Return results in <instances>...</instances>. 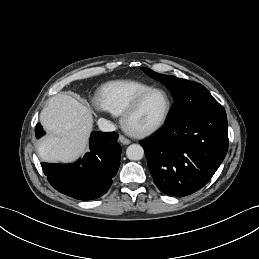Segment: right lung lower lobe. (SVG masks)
<instances>
[{
    "label": "right lung lower lobe",
    "instance_id": "obj_1",
    "mask_svg": "<svg viewBox=\"0 0 259 259\" xmlns=\"http://www.w3.org/2000/svg\"><path fill=\"white\" fill-rule=\"evenodd\" d=\"M36 125V137L44 135ZM115 132H92L90 153L72 165L41 163L49 183L59 192L79 200L96 199L107 192L120 165L121 146Z\"/></svg>",
    "mask_w": 259,
    "mask_h": 259
}]
</instances>
